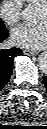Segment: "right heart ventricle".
<instances>
[{
	"instance_id": "1",
	"label": "right heart ventricle",
	"mask_w": 47,
	"mask_h": 129,
	"mask_svg": "<svg viewBox=\"0 0 47 129\" xmlns=\"http://www.w3.org/2000/svg\"><path fill=\"white\" fill-rule=\"evenodd\" d=\"M44 0H22L23 3L28 5L41 4Z\"/></svg>"
}]
</instances>
